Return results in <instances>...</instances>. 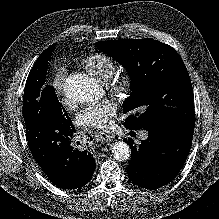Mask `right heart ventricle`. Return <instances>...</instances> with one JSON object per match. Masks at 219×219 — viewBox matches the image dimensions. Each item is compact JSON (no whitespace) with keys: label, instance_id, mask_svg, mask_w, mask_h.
<instances>
[{"label":"right heart ventricle","instance_id":"e07e8e85","mask_svg":"<svg viewBox=\"0 0 219 219\" xmlns=\"http://www.w3.org/2000/svg\"><path fill=\"white\" fill-rule=\"evenodd\" d=\"M82 66L101 82H107L116 72L113 58L104 53H93L81 61Z\"/></svg>","mask_w":219,"mask_h":219}]
</instances>
